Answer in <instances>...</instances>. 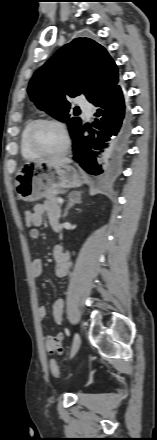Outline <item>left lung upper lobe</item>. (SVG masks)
Returning <instances> with one entry per match:
<instances>
[{
  "label": "left lung upper lobe",
  "instance_id": "1",
  "mask_svg": "<svg viewBox=\"0 0 157 440\" xmlns=\"http://www.w3.org/2000/svg\"><path fill=\"white\" fill-rule=\"evenodd\" d=\"M118 80V68L107 50L92 39L76 38L34 73L28 93L39 109L66 122L71 136L82 122L69 114L67 96L84 94L94 103L118 86Z\"/></svg>",
  "mask_w": 157,
  "mask_h": 440
}]
</instances>
